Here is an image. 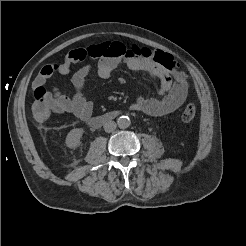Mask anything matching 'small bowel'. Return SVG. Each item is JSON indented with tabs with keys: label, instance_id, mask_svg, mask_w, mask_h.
<instances>
[{
	"label": "small bowel",
	"instance_id": "c3829d8e",
	"mask_svg": "<svg viewBox=\"0 0 246 246\" xmlns=\"http://www.w3.org/2000/svg\"><path fill=\"white\" fill-rule=\"evenodd\" d=\"M139 51L136 46H127L118 41L78 46L66 55L62 63L44 66L34 79L33 88L35 90L37 87H43L55 74L68 75L73 65L83 63L71 77L74 88L72 96L64 95L56 87H52L47 96L54 113L73 114L81 120H88L93 112V104L85 98L83 89L92 68L91 63L96 62L97 73L104 79L110 78L117 66L124 63L130 70L149 74L159 84L157 94L138 97L131 105L133 110L151 116H163L174 112L187 97V75L185 80L177 81L163 65L143 58Z\"/></svg>",
	"mask_w": 246,
	"mask_h": 246
}]
</instances>
